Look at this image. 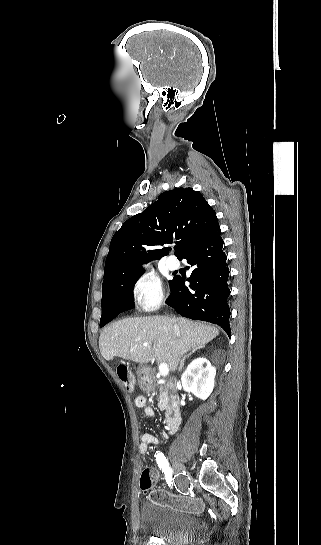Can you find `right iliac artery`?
<instances>
[{
  "label": "right iliac artery",
  "instance_id": "1",
  "mask_svg": "<svg viewBox=\"0 0 321 545\" xmlns=\"http://www.w3.org/2000/svg\"><path fill=\"white\" fill-rule=\"evenodd\" d=\"M155 458L158 463L159 468L162 470V472L165 475L167 484L172 487L173 486V480H172V469L165 457V455L162 452H156Z\"/></svg>",
  "mask_w": 321,
  "mask_h": 545
}]
</instances>
